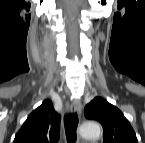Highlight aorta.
<instances>
[{"label":"aorta","mask_w":145,"mask_h":143,"mask_svg":"<svg viewBox=\"0 0 145 143\" xmlns=\"http://www.w3.org/2000/svg\"><path fill=\"white\" fill-rule=\"evenodd\" d=\"M80 134L85 139H95L101 135V127L94 121H86L81 126Z\"/></svg>","instance_id":"1"}]
</instances>
